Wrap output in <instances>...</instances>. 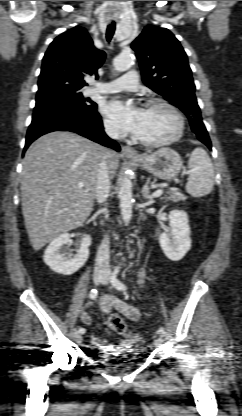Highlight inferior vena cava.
I'll use <instances>...</instances> for the list:
<instances>
[{"instance_id": "1", "label": "inferior vena cava", "mask_w": 242, "mask_h": 416, "mask_svg": "<svg viewBox=\"0 0 242 416\" xmlns=\"http://www.w3.org/2000/svg\"><path fill=\"white\" fill-rule=\"evenodd\" d=\"M105 132L112 139L119 138V131L108 122H105ZM109 152L106 150L103 154L102 160L99 164L97 173V183L95 189V197L98 203H104L108 198L110 191V175H109V163H108ZM110 249L109 239L105 236L96 256L95 270L110 272Z\"/></svg>"}]
</instances>
